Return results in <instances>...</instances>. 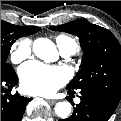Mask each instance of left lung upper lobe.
Returning a JSON list of instances; mask_svg holds the SVG:
<instances>
[{
  "mask_svg": "<svg viewBox=\"0 0 121 121\" xmlns=\"http://www.w3.org/2000/svg\"><path fill=\"white\" fill-rule=\"evenodd\" d=\"M79 37L83 53L81 69L67 89L101 91L119 102L121 98V46L107 29L89 21L76 20L51 27Z\"/></svg>",
  "mask_w": 121,
  "mask_h": 121,
  "instance_id": "obj_1",
  "label": "left lung upper lobe"
}]
</instances>
